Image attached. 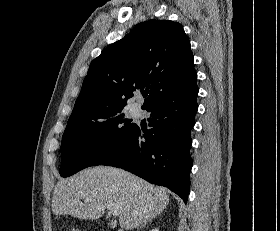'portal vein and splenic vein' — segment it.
Segmentation results:
<instances>
[{
    "instance_id": "obj_1",
    "label": "portal vein and splenic vein",
    "mask_w": 280,
    "mask_h": 231,
    "mask_svg": "<svg viewBox=\"0 0 280 231\" xmlns=\"http://www.w3.org/2000/svg\"><path fill=\"white\" fill-rule=\"evenodd\" d=\"M109 213H112V215H119L120 207H110Z\"/></svg>"
}]
</instances>
